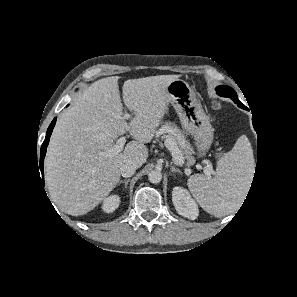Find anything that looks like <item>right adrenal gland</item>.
<instances>
[{
    "label": "right adrenal gland",
    "instance_id": "right-adrenal-gland-1",
    "mask_svg": "<svg viewBox=\"0 0 297 297\" xmlns=\"http://www.w3.org/2000/svg\"><path fill=\"white\" fill-rule=\"evenodd\" d=\"M129 181H130V179H129V178H128V179H126V180H123V181L121 180V181H119V182H118V185H120V184H123V183H124V184H125V189H126V188H127V185H128V183H129Z\"/></svg>",
    "mask_w": 297,
    "mask_h": 297
}]
</instances>
